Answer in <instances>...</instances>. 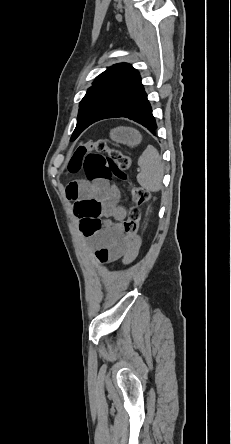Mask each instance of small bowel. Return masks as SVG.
I'll return each mask as SVG.
<instances>
[{
    "mask_svg": "<svg viewBox=\"0 0 231 444\" xmlns=\"http://www.w3.org/2000/svg\"><path fill=\"white\" fill-rule=\"evenodd\" d=\"M66 194L68 199L75 201L93 200L100 205L99 218L106 219L99 231L91 236L95 245V257L102 263H110L122 259L125 264L131 263L140 248L138 236H125L121 222L126 217V209L118 202L117 192L105 180L92 183L86 181L71 182Z\"/></svg>",
    "mask_w": 231,
    "mask_h": 444,
    "instance_id": "obj_1",
    "label": "small bowel"
}]
</instances>
